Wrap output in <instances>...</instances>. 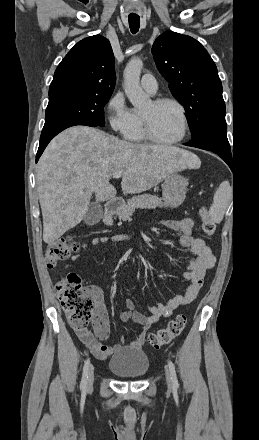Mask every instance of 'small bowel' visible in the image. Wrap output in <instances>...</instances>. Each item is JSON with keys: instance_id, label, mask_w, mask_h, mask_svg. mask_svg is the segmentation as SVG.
Instances as JSON below:
<instances>
[{"instance_id": "small-bowel-1", "label": "small bowel", "mask_w": 259, "mask_h": 440, "mask_svg": "<svg viewBox=\"0 0 259 440\" xmlns=\"http://www.w3.org/2000/svg\"><path fill=\"white\" fill-rule=\"evenodd\" d=\"M163 224L178 236L180 246L190 254L184 273L187 286L182 294L175 296L169 302L150 307L148 315L137 311L132 299L125 300V309L120 314L122 320L132 321L140 327L137 337L130 342V346L133 348H140L143 345L146 333L152 324L162 317H169L178 307L187 305L196 298L204 283L207 272L214 267L216 261L206 242L202 238L193 235V222L191 219L164 220ZM129 239V236L123 234L112 237L102 236L93 238L90 245H106ZM88 245V243H83L78 251L72 255L71 259L77 260L80 251L87 248ZM92 289L96 301L93 315V330L75 328V332L80 341L90 349L96 358L105 359L118 346L111 347L103 343L110 333L107 310L103 302L101 290L98 287H92Z\"/></svg>"}]
</instances>
